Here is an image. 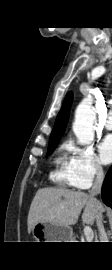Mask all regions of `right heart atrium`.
Returning a JSON list of instances; mask_svg holds the SVG:
<instances>
[{
    "label": "right heart atrium",
    "instance_id": "right-heart-atrium-1",
    "mask_svg": "<svg viewBox=\"0 0 112 270\" xmlns=\"http://www.w3.org/2000/svg\"><path fill=\"white\" fill-rule=\"evenodd\" d=\"M69 154L67 170L71 186L77 189H87L92 183L103 177L104 168L91 146H79L72 140L64 144Z\"/></svg>",
    "mask_w": 112,
    "mask_h": 270
}]
</instances>
